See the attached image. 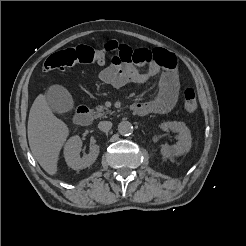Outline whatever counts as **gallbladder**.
<instances>
[{"mask_svg": "<svg viewBox=\"0 0 246 246\" xmlns=\"http://www.w3.org/2000/svg\"><path fill=\"white\" fill-rule=\"evenodd\" d=\"M50 109L56 113H66L73 109L74 101L69 91L61 85H52L45 93Z\"/></svg>", "mask_w": 246, "mask_h": 246, "instance_id": "gallbladder-1", "label": "gallbladder"}]
</instances>
